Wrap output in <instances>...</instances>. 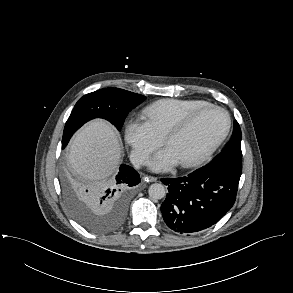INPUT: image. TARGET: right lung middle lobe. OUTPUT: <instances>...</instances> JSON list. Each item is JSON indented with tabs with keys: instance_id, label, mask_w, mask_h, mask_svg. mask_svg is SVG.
<instances>
[{
	"instance_id": "obj_1",
	"label": "right lung middle lobe",
	"mask_w": 293,
	"mask_h": 293,
	"mask_svg": "<svg viewBox=\"0 0 293 293\" xmlns=\"http://www.w3.org/2000/svg\"><path fill=\"white\" fill-rule=\"evenodd\" d=\"M146 99L145 96L119 88H104L84 95L76 103L64 128L62 148L73 133L94 118H103L121 129L127 114ZM62 189L66 204L74 218L85 228L94 232H107L115 226L108 214H97L82 199L81 186L65 178Z\"/></svg>"
}]
</instances>
